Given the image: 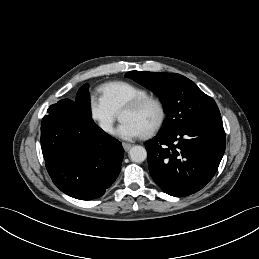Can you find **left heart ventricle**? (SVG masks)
<instances>
[{
    "label": "left heart ventricle",
    "mask_w": 259,
    "mask_h": 259,
    "mask_svg": "<svg viewBox=\"0 0 259 259\" xmlns=\"http://www.w3.org/2000/svg\"><path fill=\"white\" fill-rule=\"evenodd\" d=\"M157 116L158 111L156 106L153 104H146L137 111L123 112L120 115V119L133 123L141 132H144L154 124Z\"/></svg>",
    "instance_id": "obj_1"
}]
</instances>
